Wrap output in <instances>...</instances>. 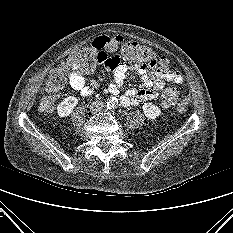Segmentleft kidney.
<instances>
[{
	"mask_svg": "<svg viewBox=\"0 0 233 233\" xmlns=\"http://www.w3.org/2000/svg\"><path fill=\"white\" fill-rule=\"evenodd\" d=\"M142 108L148 119H156L161 114L160 108L153 103H144Z\"/></svg>",
	"mask_w": 233,
	"mask_h": 233,
	"instance_id": "left-kidney-1",
	"label": "left kidney"
}]
</instances>
